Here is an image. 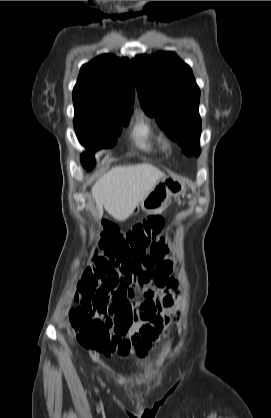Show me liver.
<instances>
[{
    "mask_svg": "<svg viewBox=\"0 0 271 418\" xmlns=\"http://www.w3.org/2000/svg\"><path fill=\"white\" fill-rule=\"evenodd\" d=\"M165 174L149 163L117 166L102 176L92 187L97 217L103 206L116 220H126Z\"/></svg>",
    "mask_w": 271,
    "mask_h": 418,
    "instance_id": "6515ba94",
    "label": "liver"
}]
</instances>
